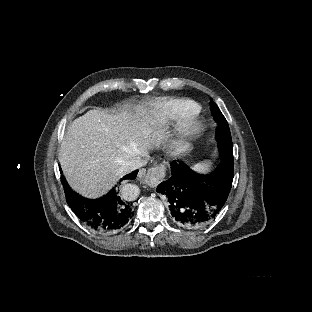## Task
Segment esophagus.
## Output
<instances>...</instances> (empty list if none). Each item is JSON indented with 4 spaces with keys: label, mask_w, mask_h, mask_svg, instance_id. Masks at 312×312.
Masks as SVG:
<instances>
[{
    "label": "esophagus",
    "mask_w": 312,
    "mask_h": 312,
    "mask_svg": "<svg viewBox=\"0 0 312 312\" xmlns=\"http://www.w3.org/2000/svg\"><path fill=\"white\" fill-rule=\"evenodd\" d=\"M166 167L164 164L157 165L147 170H141L138 177L143 179L149 186H157L165 177Z\"/></svg>",
    "instance_id": "34e87169"
}]
</instances>
